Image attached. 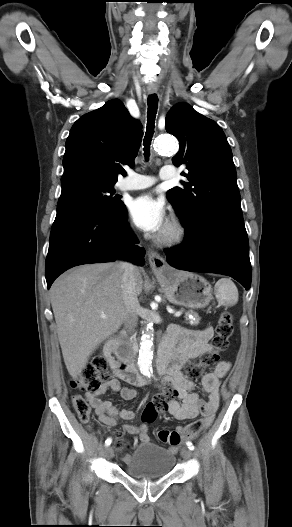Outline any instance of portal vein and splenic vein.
Instances as JSON below:
<instances>
[{"label": "portal vein and splenic vein", "mask_w": 292, "mask_h": 527, "mask_svg": "<svg viewBox=\"0 0 292 527\" xmlns=\"http://www.w3.org/2000/svg\"><path fill=\"white\" fill-rule=\"evenodd\" d=\"M181 315H182V312H181V311H177V312L174 314L175 317H179V316H181ZM101 318H104V319H105V318H106V315L102 314V315H101Z\"/></svg>", "instance_id": "obj_1"}]
</instances>
